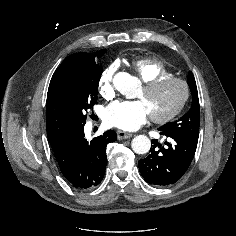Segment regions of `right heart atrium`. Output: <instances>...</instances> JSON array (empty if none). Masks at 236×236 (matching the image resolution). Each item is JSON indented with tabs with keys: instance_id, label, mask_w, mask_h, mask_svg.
<instances>
[{
	"instance_id": "right-heart-atrium-1",
	"label": "right heart atrium",
	"mask_w": 236,
	"mask_h": 236,
	"mask_svg": "<svg viewBox=\"0 0 236 236\" xmlns=\"http://www.w3.org/2000/svg\"><path fill=\"white\" fill-rule=\"evenodd\" d=\"M117 70V64L108 66L100 75L98 88L100 94L105 98H111L114 95V75Z\"/></svg>"
}]
</instances>
